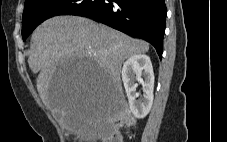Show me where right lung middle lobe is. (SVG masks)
<instances>
[{
	"label": "right lung middle lobe",
	"mask_w": 227,
	"mask_h": 142,
	"mask_svg": "<svg viewBox=\"0 0 227 142\" xmlns=\"http://www.w3.org/2000/svg\"><path fill=\"white\" fill-rule=\"evenodd\" d=\"M104 0H28L22 17V38H26L43 21L58 15H78L101 5Z\"/></svg>",
	"instance_id": "dd1d6c3e"
}]
</instances>
